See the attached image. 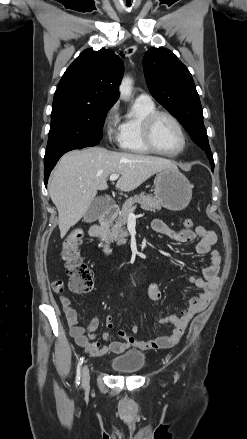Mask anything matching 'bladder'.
Instances as JSON below:
<instances>
[{"mask_svg": "<svg viewBox=\"0 0 247 439\" xmlns=\"http://www.w3.org/2000/svg\"><path fill=\"white\" fill-rule=\"evenodd\" d=\"M145 365V354L140 350H128L110 361V367L119 373L135 374Z\"/></svg>", "mask_w": 247, "mask_h": 439, "instance_id": "31cf9c89", "label": "bladder"}]
</instances>
